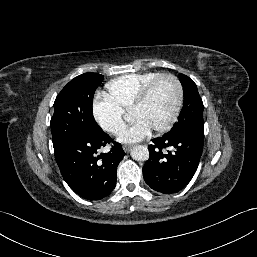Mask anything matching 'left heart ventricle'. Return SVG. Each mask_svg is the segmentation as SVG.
Returning <instances> with one entry per match:
<instances>
[{
    "mask_svg": "<svg viewBox=\"0 0 257 257\" xmlns=\"http://www.w3.org/2000/svg\"><path fill=\"white\" fill-rule=\"evenodd\" d=\"M177 98L176 86L169 79L162 80L153 90L147 102L131 113L133 120L141 119L154 130L170 118Z\"/></svg>",
    "mask_w": 257,
    "mask_h": 257,
    "instance_id": "b2bd125f",
    "label": "left heart ventricle"
}]
</instances>
